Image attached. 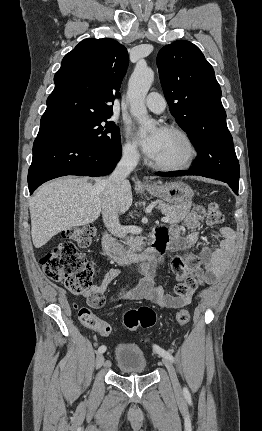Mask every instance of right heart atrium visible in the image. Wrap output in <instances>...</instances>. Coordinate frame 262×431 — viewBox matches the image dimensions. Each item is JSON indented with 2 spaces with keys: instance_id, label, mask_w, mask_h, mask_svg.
I'll use <instances>...</instances> for the list:
<instances>
[{
  "instance_id": "d8ad5b80",
  "label": "right heart atrium",
  "mask_w": 262,
  "mask_h": 431,
  "mask_svg": "<svg viewBox=\"0 0 262 431\" xmlns=\"http://www.w3.org/2000/svg\"><path fill=\"white\" fill-rule=\"evenodd\" d=\"M122 151L123 155L129 159H136L139 156L135 142L129 138L125 141Z\"/></svg>"
}]
</instances>
